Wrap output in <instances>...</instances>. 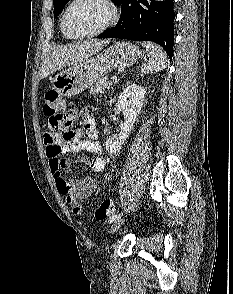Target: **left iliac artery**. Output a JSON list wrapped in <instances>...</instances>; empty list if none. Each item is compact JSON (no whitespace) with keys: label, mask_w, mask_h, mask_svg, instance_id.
Instances as JSON below:
<instances>
[{"label":"left iliac artery","mask_w":233,"mask_h":294,"mask_svg":"<svg viewBox=\"0 0 233 294\" xmlns=\"http://www.w3.org/2000/svg\"><path fill=\"white\" fill-rule=\"evenodd\" d=\"M136 206H137V204L134 205V206H132V207H130V210H134V208H135ZM128 212H129V209H128ZM121 216H122L121 213H120V214H115V215H113V216H111V217L109 218V222L112 223V222H114L115 220L121 218Z\"/></svg>","instance_id":"left-iliac-artery-1"}]
</instances>
